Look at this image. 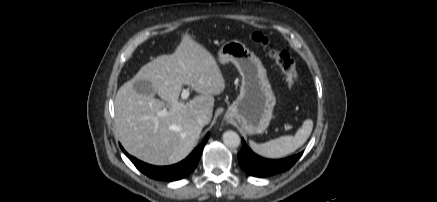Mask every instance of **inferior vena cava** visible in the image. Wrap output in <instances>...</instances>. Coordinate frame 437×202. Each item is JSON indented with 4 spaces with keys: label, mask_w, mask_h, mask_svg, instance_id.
<instances>
[{
    "label": "inferior vena cava",
    "mask_w": 437,
    "mask_h": 202,
    "mask_svg": "<svg viewBox=\"0 0 437 202\" xmlns=\"http://www.w3.org/2000/svg\"><path fill=\"white\" fill-rule=\"evenodd\" d=\"M197 122L200 126H204L209 123V119L205 113H201L197 116Z\"/></svg>",
    "instance_id": "602c4592"
}]
</instances>
